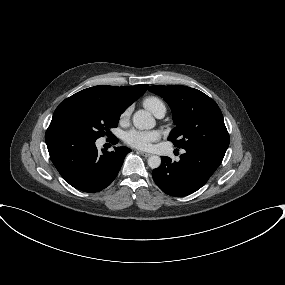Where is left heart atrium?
Returning <instances> with one entry per match:
<instances>
[{
  "label": "left heart atrium",
  "mask_w": 285,
  "mask_h": 285,
  "mask_svg": "<svg viewBox=\"0 0 285 285\" xmlns=\"http://www.w3.org/2000/svg\"><path fill=\"white\" fill-rule=\"evenodd\" d=\"M160 134L157 131H144L138 129H131L124 135V141L137 149L149 150L152 144L158 141Z\"/></svg>",
  "instance_id": "39dd6f15"
}]
</instances>
